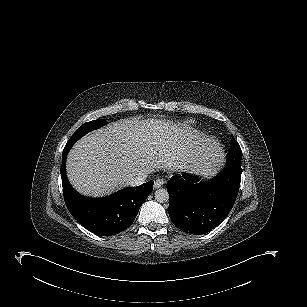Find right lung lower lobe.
<instances>
[{
	"instance_id": "98d812e1",
	"label": "right lung lower lobe",
	"mask_w": 307,
	"mask_h": 307,
	"mask_svg": "<svg viewBox=\"0 0 307 307\" xmlns=\"http://www.w3.org/2000/svg\"><path fill=\"white\" fill-rule=\"evenodd\" d=\"M70 148L63 150L61 167L63 194L70 213L86 229L100 236H112L124 231L132 225L141 205L153 191L154 182L124 188L101 199L81 196L66 177L65 162Z\"/></svg>"
}]
</instances>
